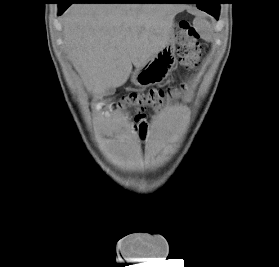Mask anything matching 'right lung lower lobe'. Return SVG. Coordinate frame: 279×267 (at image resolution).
I'll use <instances>...</instances> for the list:
<instances>
[{"instance_id":"1","label":"right lung lower lobe","mask_w":279,"mask_h":267,"mask_svg":"<svg viewBox=\"0 0 279 267\" xmlns=\"http://www.w3.org/2000/svg\"><path fill=\"white\" fill-rule=\"evenodd\" d=\"M165 0H64L59 5L61 15L73 3H165Z\"/></svg>"}]
</instances>
